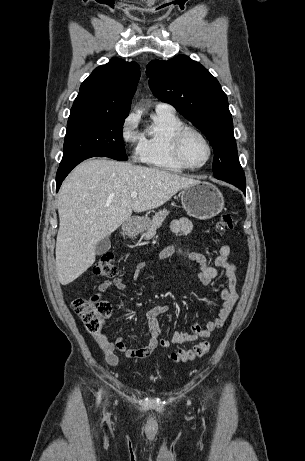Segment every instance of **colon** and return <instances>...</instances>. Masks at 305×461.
I'll use <instances>...</instances> for the list:
<instances>
[{
	"label": "colon",
	"mask_w": 305,
	"mask_h": 461,
	"mask_svg": "<svg viewBox=\"0 0 305 461\" xmlns=\"http://www.w3.org/2000/svg\"><path fill=\"white\" fill-rule=\"evenodd\" d=\"M220 233L234 228V220L230 214H222L217 222ZM119 268L114 264L112 254H104L94 266V274L102 278H116ZM72 309L84 323L88 332L98 334L104 326V319L111 313L109 302L102 300L97 295L90 298H75L72 301ZM210 349L208 341H202L189 349H181L171 353V359L175 362H186L205 355Z\"/></svg>",
	"instance_id": "colon-1"
}]
</instances>
